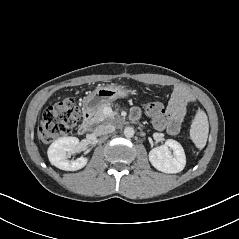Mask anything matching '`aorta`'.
Segmentation results:
<instances>
[{"instance_id": "1", "label": "aorta", "mask_w": 239, "mask_h": 239, "mask_svg": "<svg viewBox=\"0 0 239 239\" xmlns=\"http://www.w3.org/2000/svg\"><path fill=\"white\" fill-rule=\"evenodd\" d=\"M134 133H135V131H134V129H133L132 127H126V128L124 129V135H125L127 138L133 137V136H134Z\"/></svg>"}]
</instances>
